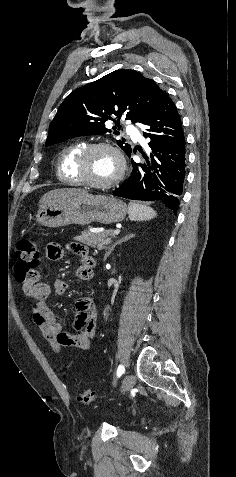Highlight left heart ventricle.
<instances>
[{"label":"left heart ventricle","instance_id":"left-heart-ventricle-1","mask_svg":"<svg viewBox=\"0 0 236 477\" xmlns=\"http://www.w3.org/2000/svg\"><path fill=\"white\" fill-rule=\"evenodd\" d=\"M118 171V162L113 152L108 149H97L88 157L85 175L94 182L111 180Z\"/></svg>","mask_w":236,"mask_h":477}]
</instances>
